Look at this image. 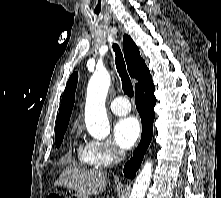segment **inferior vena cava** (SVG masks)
<instances>
[{"mask_svg": "<svg viewBox=\"0 0 221 198\" xmlns=\"http://www.w3.org/2000/svg\"><path fill=\"white\" fill-rule=\"evenodd\" d=\"M124 156H125V152L121 149L116 148L114 150V164L117 165L119 162H121Z\"/></svg>", "mask_w": 221, "mask_h": 198, "instance_id": "obj_1", "label": "inferior vena cava"}]
</instances>
